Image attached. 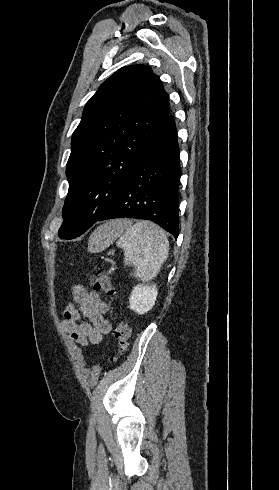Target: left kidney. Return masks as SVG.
<instances>
[{"label":"left kidney","mask_w":279,"mask_h":490,"mask_svg":"<svg viewBox=\"0 0 279 490\" xmlns=\"http://www.w3.org/2000/svg\"><path fill=\"white\" fill-rule=\"evenodd\" d=\"M157 294V286L155 284L153 286H147V284L135 286L129 298L130 310H133L136 314H140V316L147 314V312L152 310Z\"/></svg>","instance_id":"obj_1"}]
</instances>
